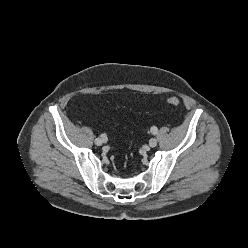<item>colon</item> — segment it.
Here are the masks:
<instances>
[{
	"instance_id": "5ec220e1",
	"label": "colon",
	"mask_w": 248,
	"mask_h": 248,
	"mask_svg": "<svg viewBox=\"0 0 248 248\" xmlns=\"http://www.w3.org/2000/svg\"><path fill=\"white\" fill-rule=\"evenodd\" d=\"M166 102L172 106H179L180 105V100L177 97H169V98H167Z\"/></svg>"
}]
</instances>
